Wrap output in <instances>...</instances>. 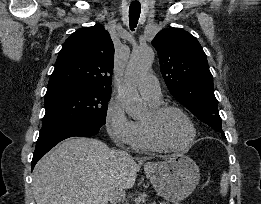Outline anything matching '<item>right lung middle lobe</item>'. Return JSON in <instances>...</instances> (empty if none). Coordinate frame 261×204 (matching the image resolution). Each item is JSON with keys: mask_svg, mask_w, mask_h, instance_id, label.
Instances as JSON below:
<instances>
[{"mask_svg": "<svg viewBox=\"0 0 261 204\" xmlns=\"http://www.w3.org/2000/svg\"><path fill=\"white\" fill-rule=\"evenodd\" d=\"M111 91L64 90L45 95L42 127L68 121H92L104 125Z\"/></svg>", "mask_w": 261, "mask_h": 204, "instance_id": "1", "label": "right lung middle lobe"}]
</instances>
